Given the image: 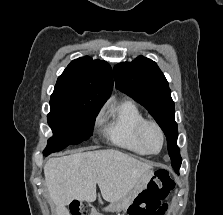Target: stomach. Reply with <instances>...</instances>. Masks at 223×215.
Returning <instances> with one entry per match:
<instances>
[{
    "label": "stomach",
    "mask_w": 223,
    "mask_h": 215,
    "mask_svg": "<svg viewBox=\"0 0 223 215\" xmlns=\"http://www.w3.org/2000/svg\"><path fill=\"white\" fill-rule=\"evenodd\" d=\"M154 171L152 169H147V171H144L142 173L141 177H139L134 189H131L127 195H124V197H121L119 201H114V203H110L106 209L108 211H121V209H130V205H132L133 201H137V198H133V193H145L146 189H148V185L153 179Z\"/></svg>",
    "instance_id": "stomach-1"
}]
</instances>
